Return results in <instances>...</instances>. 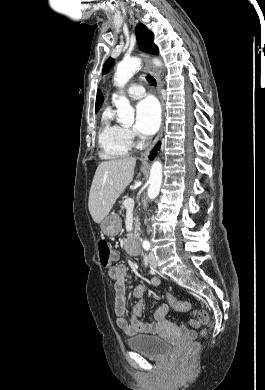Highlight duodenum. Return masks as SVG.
Returning <instances> with one entry per match:
<instances>
[{
	"mask_svg": "<svg viewBox=\"0 0 265 390\" xmlns=\"http://www.w3.org/2000/svg\"><path fill=\"white\" fill-rule=\"evenodd\" d=\"M137 236H134V238L128 242L127 244V250L130 251L134 255L140 254V245L139 242L136 239Z\"/></svg>",
	"mask_w": 265,
	"mask_h": 390,
	"instance_id": "obj_1",
	"label": "duodenum"
}]
</instances>
